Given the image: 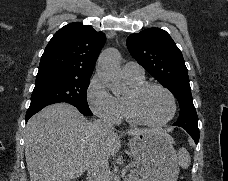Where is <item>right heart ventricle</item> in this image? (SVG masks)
I'll return each mask as SVG.
<instances>
[{
	"label": "right heart ventricle",
	"mask_w": 228,
	"mask_h": 181,
	"mask_svg": "<svg viewBox=\"0 0 228 181\" xmlns=\"http://www.w3.org/2000/svg\"><path fill=\"white\" fill-rule=\"evenodd\" d=\"M118 76L120 78L119 70H118ZM123 77L126 80L125 83L127 84V91L124 94H121L120 97H118V102H119V105H120L122 116L127 118V120H129L130 122H133V119L131 118V116L129 114V111H128V108H127V95H126V93L132 87H134L136 85H139L141 83H144V77L143 76L130 77V76L126 75V74H124Z\"/></svg>",
	"instance_id": "1"
}]
</instances>
